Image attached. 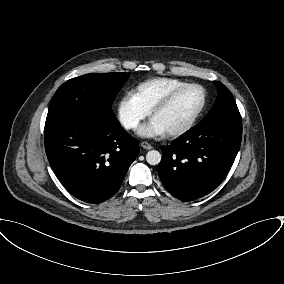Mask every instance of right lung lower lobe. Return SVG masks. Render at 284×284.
<instances>
[{
	"label": "right lung lower lobe",
	"mask_w": 284,
	"mask_h": 284,
	"mask_svg": "<svg viewBox=\"0 0 284 284\" xmlns=\"http://www.w3.org/2000/svg\"><path fill=\"white\" fill-rule=\"evenodd\" d=\"M47 158L76 198L100 203L119 189L139 154L138 142L112 115L72 117L45 130Z\"/></svg>",
	"instance_id": "obj_1"
}]
</instances>
